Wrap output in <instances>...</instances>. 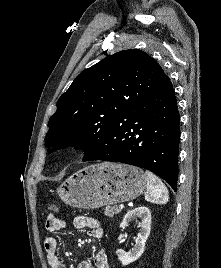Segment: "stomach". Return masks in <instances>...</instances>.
Wrapping results in <instances>:
<instances>
[{
  "label": "stomach",
  "instance_id": "0dacf381",
  "mask_svg": "<svg viewBox=\"0 0 221 268\" xmlns=\"http://www.w3.org/2000/svg\"><path fill=\"white\" fill-rule=\"evenodd\" d=\"M142 169L120 163L90 165L71 175L57 189L60 199L79 209H95L129 201L146 187Z\"/></svg>",
  "mask_w": 221,
  "mask_h": 268
}]
</instances>
